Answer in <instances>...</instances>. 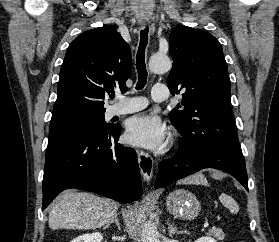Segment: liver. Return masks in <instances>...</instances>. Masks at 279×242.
<instances>
[{"label":"liver","instance_id":"1","mask_svg":"<svg viewBox=\"0 0 279 242\" xmlns=\"http://www.w3.org/2000/svg\"><path fill=\"white\" fill-rule=\"evenodd\" d=\"M182 182L207 185L202 174L188 177ZM117 209V203L111 199L67 190L61 193L52 205L48 225L52 230L95 229L111 221Z\"/></svg>","mask_w":279,"mask_h":242}]
</instances>
